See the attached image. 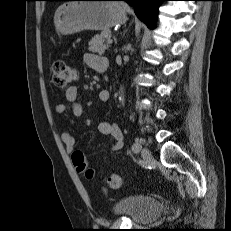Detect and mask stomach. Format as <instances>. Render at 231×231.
<instances>
[{
    "mask_svg": "<svg viewBox=\"0 0 231 231\" xmlns=\"http://www.w3.org/2000/svg\"><path fill=\"white\" fill-rule=\"evenodd\" d=\"M126 8L122 2L112 0H78L67 2L55 11L54 25L63 35L85 30L108 31L124 24Z\"/></svg>",
    "mask_w": 231,
    "mask_h": 231,
    "instance_id": "stomach-1",
    "label": "stomach"
}]
</instances>
